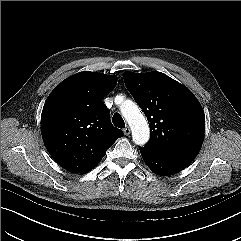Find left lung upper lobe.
I'll list each match as a JSON object with an SVG mask.
<instances>
[{"mask_svg":"<svg viewBox=\"0 0 241 241\" xmlns=\"http://www.w3.org/2000/svg\"><path fill=\"white\" fill-rule=\"evenodd\" d=\"M126 88L145 113L151 137L145 147L167 157L191 162L205 132V116L196 97L167 75L126 72Z\"/></svg>","mask_w":241,"mask_h":241,"instance_id":"5c2ea615","label":"left lung upper lobe"}]
</instances>
